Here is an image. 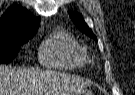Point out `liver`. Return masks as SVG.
I'll list each match as a JSON object with an SVG mask.
<instances>
[{"label":"liver","instance_id":"liver-1","mask_svg":"<svg viewBox=\"0 0 135 95\" xmlns=\"http://www.w3.org/2000/svg\"><path fill=\"white\" fill-rule=\"evenodd\" d=\"M88 82L61 72H38L0 65V95H74Z\"/></svg>","mask_w":135,"mask_h":95}]
</instances>
